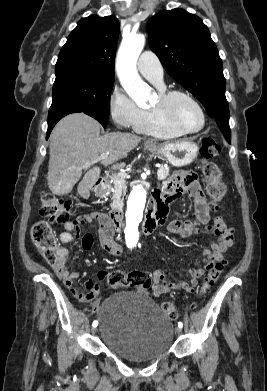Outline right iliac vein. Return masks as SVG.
I'll use <instances>...</instances> for the list:
<instances>
[{
	"instance_id": "1",
	"label": "right iliac vein",
	"mask_w": 267,
	"mask_h": 391,
	"mask_svg": "<svg viewBox=\"0 0 267 391\" xmlns=\"http://www.w3.org/2000/svg\"><path fill=\"white\" fill-rule=\"evenodd\" d=\"M96 331H97V328L94 327V328L92 329V333H96Z\"/></svg>"
}]
</instances>
